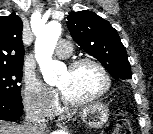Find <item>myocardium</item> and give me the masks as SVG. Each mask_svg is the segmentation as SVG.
Listing matches in <instances>:
<instances>
[{
  "label": "myocardium",
  "instance_id": "myocardium-1",
  "mask_svg": "<svg viewBox=\"0 0 153 134\" xmlns=\"http://www.w3.org/2000/svg\"><path fill=\"white\" fill-rule=\"evenodd\" d=\"M83 64H91V65L95 66L100 71V73L104 79V85H103L102 89L99 92H97L96 94L89 96V97H86V98H82V99H71L68 96H66L61 89H59L61 99H62L63 103L66 105L76 107V106H82V105L88 104V103L93 102V101L101 98L102 96H104L111 88L112 80H111V76H110L108 70L100 61H98L95 58L82 57V58L75 59L68 64V69L74 70Z\"/></svg>",
  "mask_w": 153,
  "mask_h": 134
}]
</instances>
